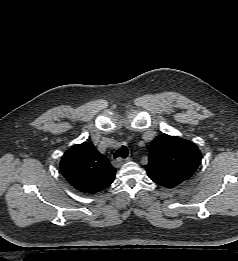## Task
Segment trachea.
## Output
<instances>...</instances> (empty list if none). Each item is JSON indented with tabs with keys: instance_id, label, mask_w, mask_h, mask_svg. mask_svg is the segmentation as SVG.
Wrapping results in <instances>:
<instances>
[{
	"instance_id": "obj_1",
	"label": "trachea",
	"mask_w": 238,
	"mask_h": 261,
	"mask_svg": "<svg viewBox=\"0 0 238 261\" xmlns=\"http://www.w3.org/2000/svg\"><path fill=\"white\" fill-rule=\"evenodd\" d=\"M128 156V149L126 146H122L116 153L114 154V158H126Z\"/></svg>"
}]
</instances>
